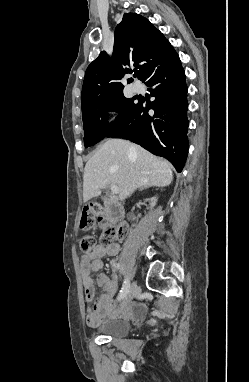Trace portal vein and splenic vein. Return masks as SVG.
I'll use <instances>...</instances> for the list:
<instances>
[{
	"label": "portal vein and splenic vein",
	"instance_id": "18ae733b",
	"mask_svg": "<svg viewBox=\"0 0 249 382\" xmlns=\"http://www.w3.org/2000/svg\"><path fill=\"white\" fill-rule=\"evenodd\" d=\"M110 189L113 194H119V188L116 185L111 184Z\"/></svg>",
	"mask_w": 249,
	"mask_h": 382
}]
</instances>
